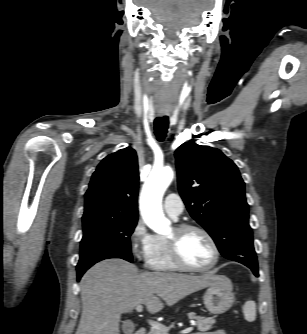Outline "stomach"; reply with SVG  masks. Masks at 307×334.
<instances>
[{
	"label": "stomach",
	"instance_id": "obj_1",
	"mask_svg": "<svg viewBox=\"0 0 307 334\" xmlns=\"http://www.w3.org/2000/svg\"><path fill=\"white\" fill-rule=\"evenodd\" d=\"M232 290V282L228 277L216 275V283L208 287L203 297L207 310L215 315L228 311L235 301Z\"/></svg>",
	"mask_w": 307,
	"mask_h": 334
}]
</instances>
